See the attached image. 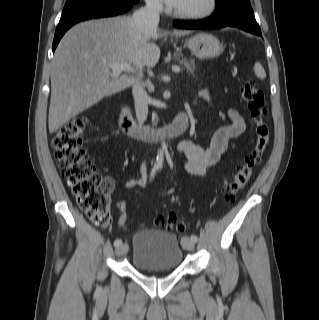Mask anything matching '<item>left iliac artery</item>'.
<instances>
[{
	"label": "left iliac artery",
	"instance_id": "1",
	"mask_svg": "<svg viewBox=\"0 0 319 320\" xmlns=\"http://www.w3.org/2000/svg\"><path fill=\"white\" fill-rule=\"evenodd\" d=\"M190 240L193 242H197L198 241L197 235H191Z\"/></svg>",
	"mask_w": 319,
	"mask_h": 320
}]
</instances>
